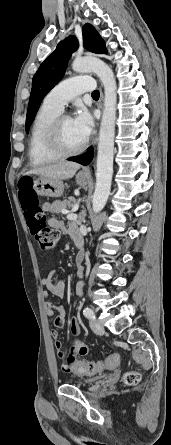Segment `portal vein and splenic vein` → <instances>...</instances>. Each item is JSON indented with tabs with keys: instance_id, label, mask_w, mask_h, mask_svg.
I'll list each match as a JSON object with an SVG mask.
<instances>
[{
	"instance_id": "portal-vein-and-splenic-vein-1",
	"label": "portal vein and splenic vein",
	"mask_w": 171,
	"mask_h": 445,
	"mask_svg": "<svg viewBox=\"0 0 171 445\" xmlns=\"http://www.w3.org/2000/svg\"><path fill=\"white\" fill-rule=\"evenodd\" d=\"M62 213L67 214L68 220H76L78 218L77 214H75L73 212H68L66 210H62Z\"/></svg>"
}]
</instances>
